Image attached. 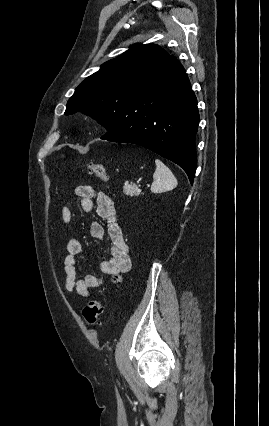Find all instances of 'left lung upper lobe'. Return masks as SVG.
Wrapping results in <instances>:
<instances>
[{
    "instance_id": "obj_1",
    "label": "left lung upper lobe",
    "mask_w": 269,
    "mask_h": 426,
    "mask_svg": "<svg viewBox=\"0 0 269 426\" xmlns=\"http://www.w3.org/2000/svg\"><path fill=\"white\" fill-rule=\"evenodd\" d=\"M168 58L169 54L155 44L131 46L75 89L65 114L82 111L91 115L108 130L104 136L110 137L123 120L131 98L151 84Z\"/></svg>"
}]
</instances>
